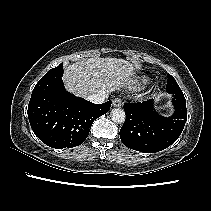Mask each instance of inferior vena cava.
I'll list each match as a JSON object with an SVG mask.
<instances>
[{"instance_id":"obj_1","label":"inferior vena cava","mask_w":211,"mask_h":211,"mask_svg":"<svg viewBox=\"0 0 211 211\" xmlns=\"http://www.w3.org/2000/svg\"><path fill=\"white\" fill-rule=\"evenodd\" d=\"M108 97V94H106L104 91L100 93H94L87 97V100H89L92 103L95 104H101L105 101V99Z\"/></svg>"}]
</instances>
